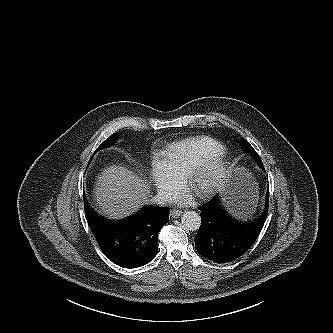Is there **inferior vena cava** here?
<instances>
[{
    "instance_id": "1",
    "label": "inferior vena cava",
    "mask_w": 333,
    "mask_h": 333,
    "mask_svg": "<svg viewBox=\"0 0 333 333\" xmlns=\"http://www.w3.org/2000/svg\"><path fill=\"white\" fill-rule=\"evenodd\" d=\"M174 195L168 191H159L154 197V201L158 204L164 205L174 200Z\"/></svg>"
}]
</instances>
